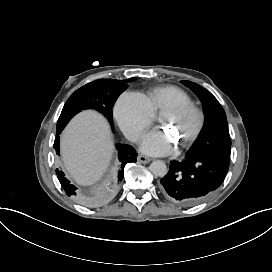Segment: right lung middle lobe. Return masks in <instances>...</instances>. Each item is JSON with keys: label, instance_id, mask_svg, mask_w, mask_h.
<instances>
[{"label": "right lung middle lobe", "instance_id": "right-lung-middle-lobe-1", "mask_svg": "<svg viewBox=\"0 0 272 272\" xmlns=\"http://www.w3.org/2000/svg\"><path fill=\"white\" fill-rule=\"evenodd\" d=\"M127 80L99 79L86 84L76 90L65 103L57 122L56 130H63L70 119L85 109H95L108 118L113 126L112 107L120 95L127 88Z\"/></svg>", "mask_w": 272, "mask_h": 272}]
</instances>
